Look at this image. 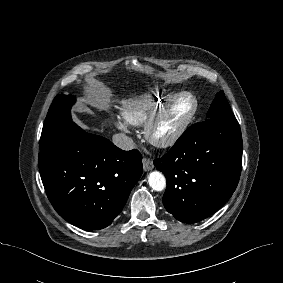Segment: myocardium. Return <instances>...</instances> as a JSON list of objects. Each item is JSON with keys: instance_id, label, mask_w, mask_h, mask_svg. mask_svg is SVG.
<instances>
[{"instance_id": "1", "label": "myocardium", "mask_w": 283, "mask_h": 283, "mask_svg": "<svg viewBox=\"0 0 283 283\" xmlns=\"http://www.w3.org/2000/svg\"><path fill=\"white\" fill-rule=\"evenodd\" d=\"M180 101H186L189 104L185 115L180 119L169 134L161 138L156 137L155 129L159 122L168 114L171 108ZM197 109V99L191 93L181 92L170 96L146 120L144 124L145 138L148 142L160 148H166L174 145L189 128L197 113Z\"/></svg>"}]
</instances>
